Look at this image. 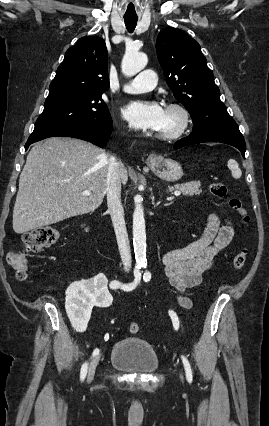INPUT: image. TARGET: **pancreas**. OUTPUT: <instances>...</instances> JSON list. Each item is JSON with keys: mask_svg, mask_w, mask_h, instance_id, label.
Here are the masks:
<instances>
[{"mask_svg": "<svg viewBox=\"0 0 269 426\" xmlns=\"http://www.w3.org/2000/svg\"><path fill=\"white\" fill-rule=\"evenodd\" d=\"M200 187H201V183L199 181H191L181 185H176L175 187H169V189L173 190L175 188L179 190L185 196H193V195H199L200 193H202V190L200 189Z\"/></svg>", "mask_w": 269, "mask_h": 426, "instance_id": "pancreas-1", "label": "pancreas"}]
</instances>
